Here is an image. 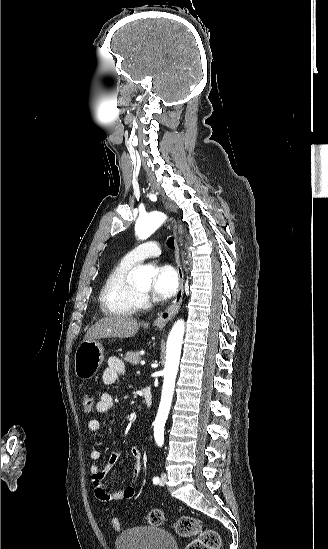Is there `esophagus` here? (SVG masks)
Masks as SVG:
<instances>
[{
    "label": "esophagus",
    "instance_id": "esophagus-1",
    "mask_svg": "<svg viewBox=\"0 0 328 549\" xmlns=\"http://www.w3.org/2000/svg\"><path fill=\"white\" fill-rule=\"evenodd\" d=\"M174 235H175V240H174L175 258H176L177 273H178V278H179V287H178V290H177V294H176L173 302L171 303V305L166 310L161 312L158 315V317L155 319L154 325L158 329H162L169 320H172L175 317V315L177 314V312L180 308L182 298H183L184 275H183V270H182L181 261H180L179 247H178V243H177V237H176L175 229H174Z\"/></svg>",
    "mask_w": 328,
    "mask_h": 549
}]
</instances>
